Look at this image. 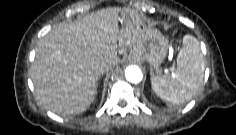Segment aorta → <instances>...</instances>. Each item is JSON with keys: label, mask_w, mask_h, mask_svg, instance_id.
Instances as JSON below:
<instances>
[{"label": "aorta", "mask_w": 236, "mask_h": 135, "mask_svg": "<svg viewBox=\"0 0 236 135\" xmlns=\"http://www.w3.org/2000/svg\"><path fill=\"white\" fill-rule=\"evenodd\" d=\"M125 77L131 83H139L142 81L143 74L138 66L130 65L125 69Z\"/></svg>", "instance_id": "obj_1"}]
</instances>
